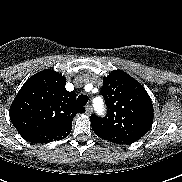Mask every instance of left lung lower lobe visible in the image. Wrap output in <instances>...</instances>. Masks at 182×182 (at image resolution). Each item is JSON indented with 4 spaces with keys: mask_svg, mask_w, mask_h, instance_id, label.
<instances>
[{
    "mask_svg": "<svg viewBox=\"0 0 182 182\" xmlns=\"http://www.w3.org/2000/svg\"><path fill=\"white\" fill-rule=\"evenodd\" d=\"M93 131L95 132V134L104 139V140H108L110 142L113 143H118V144H131L134 143L137 140L131 139V138H127L115 133H111V132H106V131H102V130H98V129H93Z\"/></svg>",
    "mask_w": 182,
    "mask_h": 182,
    "instance_id": "left-lung-lower-lobe-1",
    "label": "left lung lower lobe"
}]
</instances>
